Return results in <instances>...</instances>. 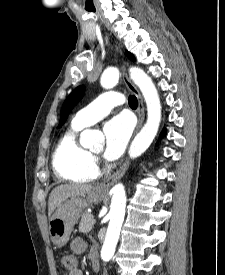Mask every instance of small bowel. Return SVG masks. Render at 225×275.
<instances>
[{
    "instance_id": "1",
    "label": "small bowel",
    "mask_w": 225,
    "mask_h": 275,
    "mask_svg": "<svg viewBox=\"0 0 225 275\" xmlns=\"http://www.w3.org/2000/svg\"><path fill=\"white\" fill-rule=\"evenodd\" d=\"M71 248L75 253L80 254L86 250V244L83 240L77 238V239L73 240V242L71 244ZM92 254L96 255V250L93 249L91 252V255ZM64 275H83V273L81 272V270L76 269V270L71 271Z\"/></svg>"
}]
</instances>
